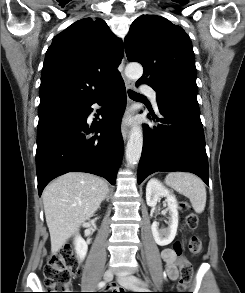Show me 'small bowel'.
I'll use <instances>...</instances> for the list:
<instances>
[{
  "mask_svg": "<svg viewBox=\"0 0 245 293\" xmlns=\"http://www.w3.org/2000/svg\"><path fill=\"white\" fill-rule=\"evenodd\" d=\"M161 257L165 264L166 274L169 279L172 281L177 280L179 277V268L181 267L182 262L177 259L176 255L171 249L163 250Z\"/></svg>",
  "mask_w": 245,
  "mask_h": 293,
  "instance_id": "1",
  "label": "small bowel"
}]
</instances>
